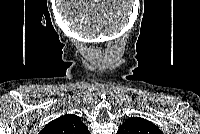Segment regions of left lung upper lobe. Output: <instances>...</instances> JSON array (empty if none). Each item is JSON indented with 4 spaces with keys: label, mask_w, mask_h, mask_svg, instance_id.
<instances>
[{
    "label": "left lung upper lobe",
    "mask_w": 200,
    "mask_h": 134,
    "mask_svg": "<svg viewBox=\"0 0 200 134\" xmlns=\"http://www.w3.org/2000/svg\"><path fill=\"white\" fill-rule=\"evenodd\" d=\"M117 134H162V132L148 120L131 117L123 123Z\"/></svg>",
    "instance_id": "5c2ea615"
}]
</instances>
